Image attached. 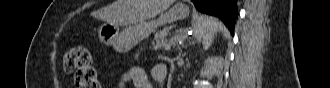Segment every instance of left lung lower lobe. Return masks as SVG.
Here are the masks:
<instances>
[{"label":"left lung lower lobe","instance_id":"obj_1","mask_svg":"<svg viewBox=\"0 0 330 88\" xmlns=\"http://www.w3.org/2000/svg\"><path fill=\"white\" fill-rule=\"evenodd\" d=\"M196 8L219 17L234 35V24L237 16V0H191Z\"/></svg>","mask_w":330,"mask_h":88}]
</instances>
